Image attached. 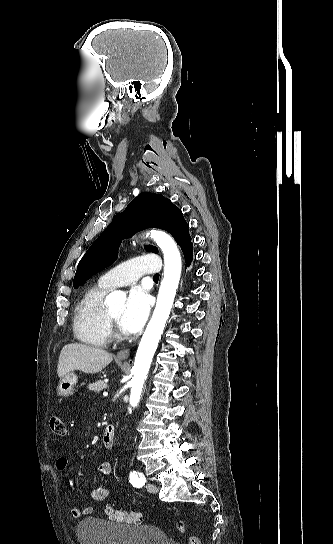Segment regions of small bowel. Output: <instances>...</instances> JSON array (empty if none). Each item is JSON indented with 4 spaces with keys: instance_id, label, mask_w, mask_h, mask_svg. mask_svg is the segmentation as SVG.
Instances as JSON below:
<instances>
[{
    "instance_id": "c3829d8e",
    "label": "small bowel",
    "mask_w": 333,
    "mask_h": 544,
    "mask_svg": "<svg viewBox=\"0 0 333 544\" xmlns=\"http://www.w3.org/2000/svg\"><path fill=\"white\" fill-rule=\"evenodd\" d=\"M68 466V460L65 457H59L56 461V468L59 471H64ZM97 473L103 476L110 475L112 473V465L108 461L100 463L97 467ZM69 485L74 492H77V483L74 479L69 480ZM111 495V488L108 485H102L94 487L89 490L88 496L95 504H101ZM93 512L92 505H83L81 507H73L71 513L74 517H80L83 515H89Z\"/></svg>"
}]
</instances>
